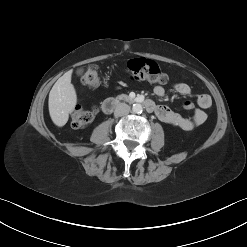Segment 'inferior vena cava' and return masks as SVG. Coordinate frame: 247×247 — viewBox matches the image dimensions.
<instances>
[{"instance_id":"inferior-vena-cava-1","label":"inferior vena cava","mask_w":247,"mask_h":247,"mask_svg":"<svg viewBox=\"0 0 247 247\" xmlns=\"http://www.w3.org/2000/svg\"><path fill=\"white\" fill-rule=\"evenodd\" d=\"M130 112V107L125 104V103H120L117 105L115 111H114V115L116 117H121V116H126L128 115Z\"/></svg>"}]
</instances>
